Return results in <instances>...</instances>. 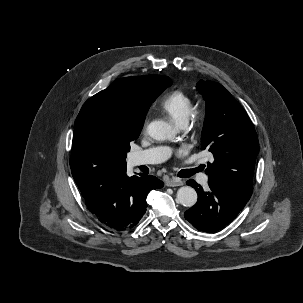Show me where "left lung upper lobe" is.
Listing matches in <instances>:
<instances>
[{
  "label": "left lung upper lobe",
  "instance_id": "1",
  "mask_svg": "<svg viewBox=\"0 0 303 303\" xmlns=\"http://www.w3.org/2000/svg\"><path fill=\"white\" fill-rule=\"evenodd\" d=\"M198 91L206 101L202 149H209L214 162L205 170L250 198L259 142L253 124L242 106L219 83L200 80Z\"/></svg>",
  "mask_w": 303,
  "mask_h": 303
}]
</instances>
